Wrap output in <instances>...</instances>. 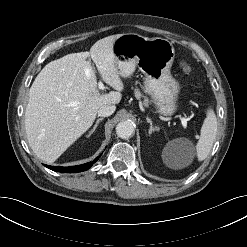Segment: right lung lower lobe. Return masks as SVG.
<instances>
[{"mask_svg":"<svg viewBox=\"0 0 247 247\" xmlns=\"http://www.w3.org/2000/svg\"><path fill=\"white\" fill-rule=\"evenodd\" d=\"M99 157L100 156H98L96 159H94L90 163H85V164L78 165V166H70V167H55V166H48V165H45V166L57 172L76 173V172H82V171L88 170L93 165V163H95L98 160Z\"/></svg>","mask_w":247,"mask_h":247,"instance_id":"1","label":"right lung lower lobe"}]
</instances>
